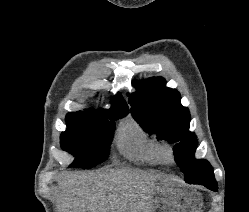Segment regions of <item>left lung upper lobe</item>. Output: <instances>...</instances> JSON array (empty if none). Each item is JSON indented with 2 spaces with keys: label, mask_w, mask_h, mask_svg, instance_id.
<instances>
[{
  "label": "left lung upper lobe",
  "mask_w": 249,
  "mask_h": 212,
  "mask_svg": "<svg viewBox=\"0 0 249 212\" xmlns=\"http://www.w3.org/2000/svg\"><path fill=\"white\" fill-rule=\"evenodd\" d=\"M164 84L162 77H153L142 82L135 93L128 94L133 118L150 135L156 134L158 139L175 143V161L187 183L215 181L210 163L194 157L197 139L188 130L191 120L188 108L180 104L179 92L164 88Z\"/></svg>",
  "instance_id": "obj_1"
}]
</instances>
